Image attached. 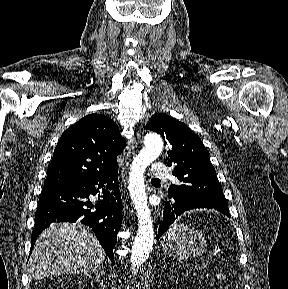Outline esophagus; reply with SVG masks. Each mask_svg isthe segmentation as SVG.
Wrapping results in <instances>:
<instances>
[{"label":"esophagus","instance_id":"esophagus-1","mask_svg":"<svg viewBox=\"0 0 288 289\" xmlns=\"http://www.w3.org/2000/svg\"><path fill=\"white\" fill-rule=\"evenodd\" d=\"M136 148H137V141L135 138H131L128 141V146H127V155H126L127 160H131L135 156Z\"/></svg>","mask_w":288,"mask_h":289}]
</instances>
